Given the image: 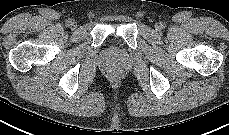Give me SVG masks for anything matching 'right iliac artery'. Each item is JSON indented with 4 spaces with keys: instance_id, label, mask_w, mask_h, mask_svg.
Listing matches in <instances>:
<instances>
[{
    "instance_id": "1",
    "label": "right iliac artery",
    "mask_w": 229,
    "mask_h": 135,
    "mask_svg": "<svg viewBox=\"0 0 229 135\" xmlns=\"http://www.w3.org/2000/svg\"><path fill=\"white\" fill-rule=\"evenodd\" d=\"M70 23H71V19H68V20L66 21V25H67V26H70Z\"/></svg>"
}]
</instances>
